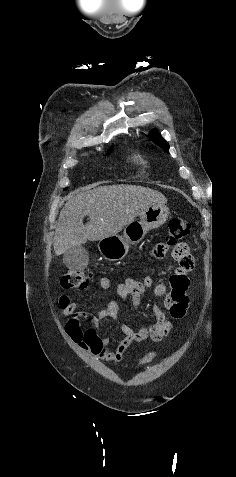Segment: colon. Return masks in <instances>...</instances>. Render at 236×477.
<instances>
[{"label": "colon", "mask_w": 236, "mask_h": 477, "mask_svg": "<svg viewBox=\"0 0 236 477\" xmlns=\"http://www.w3.org/2000/svg\"><path fill=\"white\" fill-rule=\"evenodd\" d=\"M191 232V225L181 219L173 218L169 221V230L166 243L174 246L173 256L177 259L186 256L189 252L188 245H183L181 239L187 237ZM186 244V243H185ZM89 285V275L80 271H68L61 278V286L64 289L82 290Z\"/></svg>", "instance_id": "1"}]
</instances>
